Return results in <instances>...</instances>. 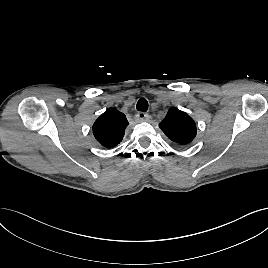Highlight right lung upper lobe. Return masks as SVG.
Wrapping results in <instances>:
<instances>
[{
  "label": "right lung upper lobe",
  "instance_id": "cb5924a9",
  "mask_svg": "<svg viewBox=\"0 0 268 268\" xmlns=\"http://www.w3.org/2000/svg\"><path fill=\"white\" fill-rule=\"evenodd\" d=\"M129 125L126 116L117 109L106 110L94 123L92 129L96 140L105 148L117 146Z\"/></svg>",
  "mask_w": 268,
  "mask_h": 268
}]
</instances>
